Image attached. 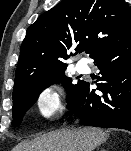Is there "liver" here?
<instances>
[{"instance_id":"obj_1","label":"liver","mask_w":131,"mask_h":151,"mask_svg":"<svg viewBox=\"0 0 131 151\" xmlns=\"http://www.w3.org/2000/svg\"><path fill=\"white\" fill-rule=\"evenodd\" d=\"M108 137V133L98 128L63 129L31 142H22L13 151H93L106 142Z\"/></svg>"}]
</instances>
